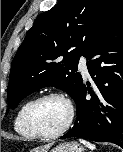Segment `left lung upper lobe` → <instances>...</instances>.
<instances>
[{
	"instance_id": "obj_1",
	"label": "left lung upper lobe",
	"mask_w": 123,
	"mask_h": 152,
	"mask_svg": "<svg viewBox=\"0 0 123 152\" xmlns=\"http://www.w3.org/2000/svg\"><path fill=\"white\" fill-rule=\"evenodd\" d=\"M121 0H60L40 14L27 32L11 67L8 103L14 109L32 92L54 86L76 98L82 84L80 56L94 43Z\"/></svg>"
}]
</instances>
